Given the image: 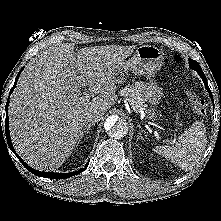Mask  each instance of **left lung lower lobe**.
<instances>
[{"instance_id": "obj_1", "label": "left lung lower lobe", "mask_w": 221, "mask_h": 221, "mask_svg": "<svg viewBox=\"0 0 221 221\" xmlns=\"http://www.w3.org/2000/svg\"><path fill=\"white\" fill-rule=\"evenodd\" d=\"M196 71L198 72V74H199L200 77L202 78V80H203V82H204V84H205V87H206L207 91H208L209 94H210V97L213 99V96H212V93H211V91H210V89H209V86H208V83H207V79H206V77H205L204 72H203L201 69H197Z\"/></svg>"}]
</instances>
